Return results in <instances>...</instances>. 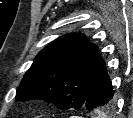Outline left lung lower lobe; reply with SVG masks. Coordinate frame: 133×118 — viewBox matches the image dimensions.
Returning a JSON list of instances; mask_svg holds the SVG:
<instances>
[{"instance_id": "left-lung-lower-lobe-1", "label": "left lung lower lobe", "mask_w": 133, "mask_h": 118, "mask_svg": "<svg viewBox=\"0 0 133 118\" xmlns=\"http://www.w3.org/2000/svg\"><path fill=\"white\" fill-rule=\"evenodd\" d=\"M113 96L114 91L107 73V69L105 67L104 71L87 97L84 107L87 109H93L97 107L108 109V105L114 101Z\"/></svg>"}]
</instances>
